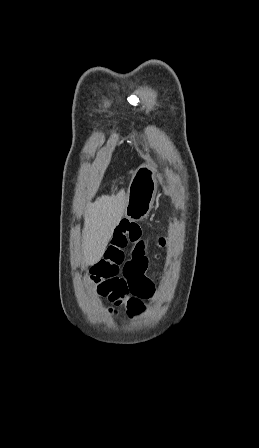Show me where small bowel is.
<instances>
[{
    "instance_id": "1",
    "label": "small bowel",
    "mask_w": 259,
    "mask_h": 448,
    "mask_svg": "<svg viewBox=\"0 0 259 448\" xmlns=\"http://www.w3.org/2000/svg\"><path fill=\"white\" fill-rule=\"evenodd\" d=\"M147 266L146 243L140 225L122 219L113 229L103 257L90 272V280L98 294L113 304L110 313L124 306L130 318L144 315V302L154 296V285L145 275Z\"/></svg>"
}]
</instances>
